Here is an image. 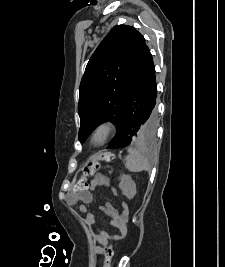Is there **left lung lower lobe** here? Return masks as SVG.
Returning <instances> with one entry per match:
<instances>
[{
  "label": "left lung lower lobe",
  "mask_w": 225,
  "mask_h": 267,
  "mask_svg": "<svg viewBox=\"0 0 225 267\" xmlns=\"http://www.w3.org/2000/svg\"><path fill=\"white\" fill-rule=\"evenodd\" d=\"M156 97L155 68L152 55L145 44L125 99L118 132L107 149L123 148L131 144L139 126L143 123L145 135L153 130L156 131Z\"/></svg>",
  "instance_id": "0a47b994"
}]
</instances>
